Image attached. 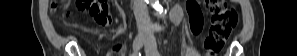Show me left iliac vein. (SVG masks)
Here are the masks:
<instances>
[{
  "label": "left iliac vein",
  "mask_w": 297,
  "mask_h": 56,
  "mask_svg": "<svg viewBox=\"0 0 297 56\" xmlns=\"http://www.w3.org/2000/svg\"><path fill=\"white\" fill-rule=\"evenodd\" d=\"M145 51L147 56H159V53L156 50V47L151 42H148L145 45Z\"/></svg>",
  "instance_id": "obj_1"
}]
</instances>
